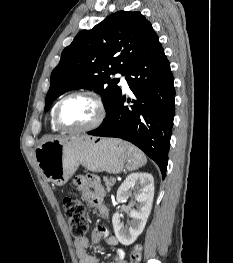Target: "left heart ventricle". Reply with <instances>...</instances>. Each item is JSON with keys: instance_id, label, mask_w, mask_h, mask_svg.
I'll return each instance as SVG.
<instances>
[{"instance_id": "1", "label": "left heart ventricle", "mask_w": 233, "mask_h": 263, "mask_svg": "<svg viewBox=\"0 0 233 263\" xmlns=\"http://www.w3.org/2000/svg\"><path fill=\"white\" fill-rule=\"evenodd\" d=\"M97 107L88 97L78 96L68 99L61 107L60 120L69 128H81L93 122Z\"/></svg>"}]
</instances>
